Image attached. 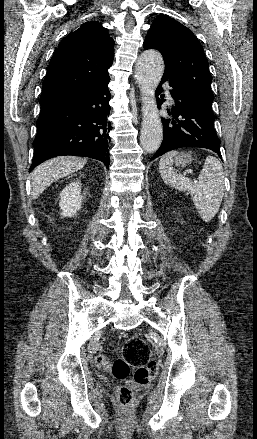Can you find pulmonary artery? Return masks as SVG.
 Masks as SVG:
<instances>
[{"label":"pulmonary artery","mask_w":257,"mask_h":439,"mask_svg":"<svg viewBox=\"0 0 257 439\" xmlns=\"http://www.w3.org/2000/svg\"><path fill=\"white\" fill-rule=\"evenodd\" d=\"M166 94H167V99H168V101H169L170 103H173V99H172V97H171V95H170V93H169L168 90L166 91Z\"/></svg>","instance_id":"obj_1"}]
</instances>
